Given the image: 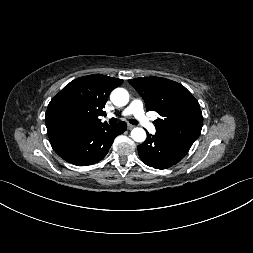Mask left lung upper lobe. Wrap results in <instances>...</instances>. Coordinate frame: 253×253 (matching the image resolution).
<instances>
[{
	"mask_svg": "<svg viewBox=\"0 0 253 253\" xmlns=\"http://www.w3.org/2000/svg\"><path fill=\"white\" fill-rule=\"evenodd\" d=\"M128 82L142 96L146 109L161 116L154 121L157 134L191 143L199 137L203 124L200 105L183 85L160 77Z\"/></svg>",
	"mask_w": 253,
	"mask_h": 253,
	"instance_id": "obj_1",
	"label": "left lung upper lobe"
}]
</instances>
